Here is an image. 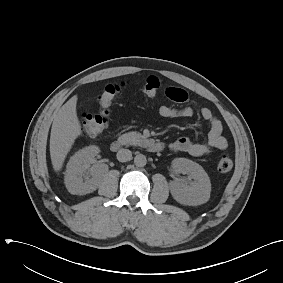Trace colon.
<instances>
[{
	"instance_id": "obj_1",
	"label": "colon",
	"mask_w": 283,
	"mask_h": 283,
	"mask_svg": "<svg viewBox=\"0 0 283 283\" xmlns=\"http://www.w3.org/2000/svg\"><path fill=\"white\" fill-rule=\"evenodd\" d=\"M160 81L155 76L148 77L142 86L143 92L148 96H154L159 88ZM122 84H109L98 97L100 111L97 114H84L81 121V131L89 137L99 136L108 125L109 109L115 96L120 92ZM233 167L232 159L228 155L222 156L217 164L220 173L229 172Z\"/></svg>"
}]
</instances>
